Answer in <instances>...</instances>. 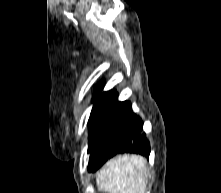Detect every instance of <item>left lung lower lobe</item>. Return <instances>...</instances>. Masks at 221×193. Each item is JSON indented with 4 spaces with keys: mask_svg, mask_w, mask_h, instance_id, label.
Segmentation results:
<instances>
[{
    "mask_svg": "<svg viewBox=\"0 0 221 193\" xmlns=\"http://www.w3.org/2000/svg\"><path fill=\"white\" fill-rule=\"evenodd\" d=\"M108 119L107 128L90 153L89 172H95L118 154L136 153L149 158L150 143L143 132V122L132 112L128 101L119 102L117 95Z\"/></svg>",
    "mask_w": 221,
    "mask_h": 193,
    "instance_id": "1",
    "label": "left lung lower lobe"
}]
</instances>
